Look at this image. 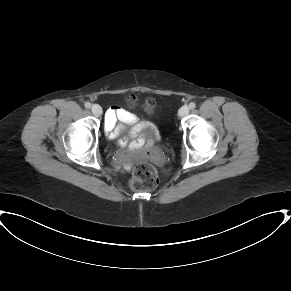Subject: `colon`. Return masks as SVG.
<instances>
[{
    "label": "colon",
    "mask_w": 291,
    "mask_h": 291,
    "mask_svg": "<svg viewBox=\"0 0 291 291\" xmlns=\"http://www.w3.org/2000/svg\"><path fill=\"white\" fill-rule=\"evenodd\" d=\"M136 98H131L130 102L135 103ZM148 112L156 109V103L152 99L146 100L142 104ZM158 185V176L153 167L144 161L142 157H137L133 164V178L130 183L131 188L137 192H144L156 188Z\"/></svg>",
    "instance_id": "colon-1"
}]
</instances>
